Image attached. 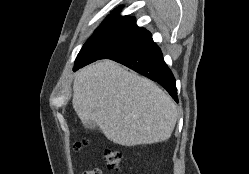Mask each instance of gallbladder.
I'll list each match as a JSON object with an SVG mask.
<instances>
[{"mask_svg": "<svg viewBox=\"0 0 249 174\" xmlns=\"http://www.w3.org/2000/svg\"><path fill=\"white\" fill-rule=\"evenodd\" d=\"M84 127L86 129L94 130L95 128H97V123L94 121H88V122L84 123Z\"/></svg>", "mask_w": 249, "mask_h": 174, "instance_id": "bac80fb5", "label": "gallbladder"}]
</instances>
